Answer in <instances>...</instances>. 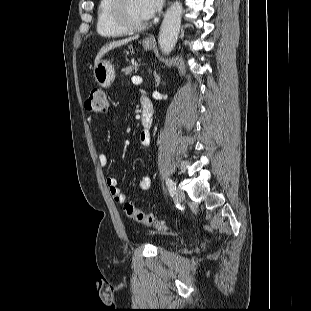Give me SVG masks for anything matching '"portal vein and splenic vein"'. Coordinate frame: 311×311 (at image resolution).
<instances>
[{
    "label": "portal vein and splenic vein",
    "mask_w": 311,
    "mask_h": 311,
    "mask_svg": "<svg viewBox=\"0 0 311 311\" xmlns=\"http://www.w3.org/2000/svg\"><path fill=\"white\" fill-rule=\"evenodd\" d=\"M132 83L133 84H135V85H139V84H141L142 83V78L141 77H139V76H134V77H132Z\"/></svg>",
    "instance_id": "1"
}]
</instances>
